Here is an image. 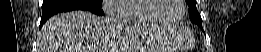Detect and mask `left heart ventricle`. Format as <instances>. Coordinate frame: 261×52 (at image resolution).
I'll return each instance as SVG.
<instances>
[{
	"mask_svg": "<svg viewBox=\"0 0 261 52\" xmlns=\"http://www.w3.org/2000/svg\"><path fill=\"white\" fill-rule=\"evenodd\" d=\"M160 4L156 10V15L165 20H175L181 12L178 0H157Z\"/></svg>",
	"mask_w": 261,
	"mask_h": 52,
	"instance_id": "left-heart-ventricle-1",
	"label": "left heart ventricle"
}]
</instances>
